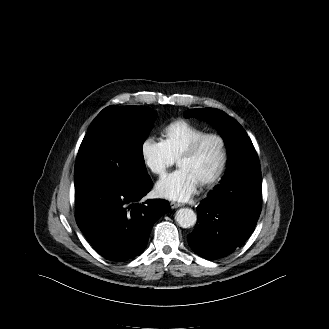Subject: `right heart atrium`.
Returning <instances> with one entry per match:
<instances>
[{"mask_svg":"<svg viewBox=\"0 0 329 329\" xmlns=\"http://www.w3.org/2000/svg\"><path fill=\"white\" fill-rule=\"evenodd\" d=\"M142 160L146 167L155 175L162 176L175 163L166 145L161 140L146 137L140 146Z\"/></svg>","mask_w":329,"mask_h":329,"instance_id":"d8ad5b80","label":"right heart atrium"}]
</instances>
